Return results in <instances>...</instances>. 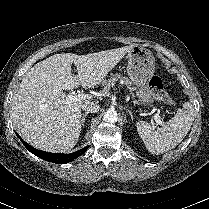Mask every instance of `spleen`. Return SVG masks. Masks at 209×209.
I'll return each mask as SVG.
<instances>
[{"label": "spleen", "instance_id": "3e777b00", "mask_svg": "<svg viewBox=\"0 0 209 209\" xmlns=\"http://www.w3.org/2000/svg\"><path fill=\"white\" fill-rule=\"evenodd\" d=\"M194 110L185 102L176 115L163 127L151 126L145 121L137 123V131L152 154H163L175 148L187 135L194 121Z\"/></svg>", "mask_w": 209, "mask_h": 209}]
</instances>
